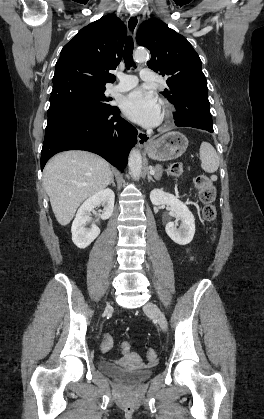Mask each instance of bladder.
Returning <instances> with one entry per match:
<instances>
[{"label":"bladder","mask_w":264,"mask_h":419,"mask_svg":"<svg viewBox=\"0 0 264 419\" xmlns=\"http://www.w3.org/2000/svg\"><path fill=\"white\" fill-rule=\"evenodd\" d=\"M99 368L102 372L126 386H135L147 380L153 374L151 368L130 369L107 360L100 361Z\"/></svg>","instance_id":"31cf9c89"}]
</instances>
